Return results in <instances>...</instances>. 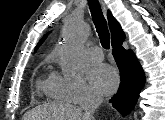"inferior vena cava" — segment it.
<instances>
[{"instance_id": "602c4592", "label": "inferior vena cava", "mask_w": 165, "mask_h": 120, "mask_svg": "<svg viewBox=\"0 0 165 120\" xmlns=\"http://www.w3.org/2000/svg\"><path fill=\"white\" fill-rule=\"evenodd\" d=\"M103 98L99 95L89 94L85 101L81 104V109L84 111L83 120H94V112L102 103Z\"/></svg>"}]
</instances>
